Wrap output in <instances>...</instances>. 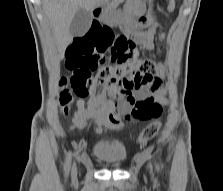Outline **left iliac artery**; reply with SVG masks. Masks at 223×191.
<instances>
[{
  "instance_id": "left-iliac-artery-1",
  "label": "left iliac artery",
  "mask_w": 223,
  "mask_h": 191,
  "mask_svg": "<svg viewBox=\"0 0 223 191\" xmlns=\"http://www.w3.org/2000/svg\"><path fill=\"white\" fill-rule=\"evenodd\" d=\"M156 170L159 171L160 170V167L158 164H156Z\"/></svg>"
}]
</instances>
